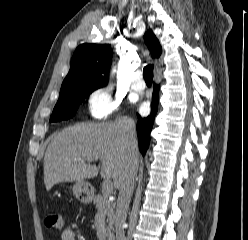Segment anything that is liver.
<instances>
[{
	"label": "liver",
	"instance_id": "liver-1",
	"mask_svg": "<svg viewBox=\"0 0 248 240\" xmlns=\"http://www.w3.org/2000/svg\"><path fill=\"white\" fill-rule=\"evenodd\" d=\"M128 118L114 122L80 123L58 132L49 143L44 156V183L49 191L60 182L84 181L98 175L99 168L90 164L102 160L101 177L113 179L115 188L124 172L128 146L125 127ZM139 160L138 149L134 152Z\"/></svg>",
	"mask_w": 248,
	"mask_h": 240
}]
</instances>
